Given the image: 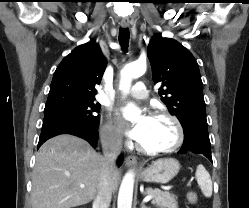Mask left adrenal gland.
<instances>
[{"label": "left adrenal gland", "instance_id": "a2214340", "mask_svg": "<svg viewBox=\"0 0 249 208\" xmlns=\"http://www.w3.org/2000/svg\"><path fill=\"white\" fill-rule=\"evenodd\" d=\"M141 208H150V207H147V206L145 205L144 201H142V203H141Z\"/></svg>", "mask_w": 249, "mask_h": 208}]
</instances>
